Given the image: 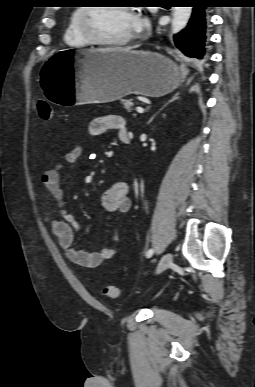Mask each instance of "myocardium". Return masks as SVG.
Returning a JSON list of instances; mask_svg holds the SVG:
<instances>
[{"instance_id": "f54148a6", "label": "myocardium", "mask_w": 255, "mask_h": 387, "mask_svg": "<svg viewBox=\"0 0 255 387\" xmlns=\"http://www.w3.org/2000/svg\"><path fill=\"white\" fill-rule=\"evenodd\" d=\"M120 7L126 11H128L130 14L133 15V11L131 8L127 6H117ZM99 7L96 6H85L81 9L79 17H78V26L79 30L82 33V35L91 43L95 45H101V46H111V47H118V46H124L128 43H130L134 39V33L118 40H109L99 37L93 30V27L90 22V17L92 13L98 9Z\"/></svg>"}]
</instances>
